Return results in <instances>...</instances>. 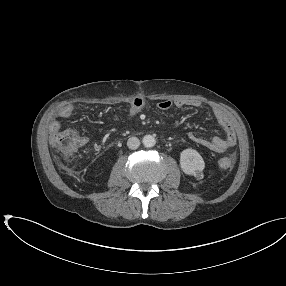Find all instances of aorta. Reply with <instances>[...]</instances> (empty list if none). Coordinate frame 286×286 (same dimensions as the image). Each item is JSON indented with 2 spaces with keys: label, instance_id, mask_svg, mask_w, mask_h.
I'll return each instance as SVG.
<instances>
[{
  "label": "aorta",
  "instance_id": "aorta-1",
  "mask_svg": "<svg viewBox=\"0 0 286 286\" xmlns=\"http://www.w3.org/2000/svg\"><path fill=\"white\" fill-rule=\"evenodd\" d=\"M142 143L145 147L151 148L156 144V140L152 135H145L142 139Z\"/></svg>",
  "mask_w": 286,
  "mask_h": 286
}]
</instances>
